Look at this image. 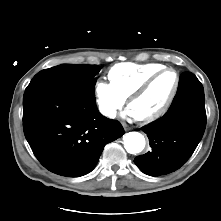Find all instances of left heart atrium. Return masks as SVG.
Wrapping results in <instances>:
<instances>
[{
    "instance_id": "left-heart-atrium-1",
    "label": "left heart atrium",
    "mask_w": 221,
    "mask_h": 221,
    "mask_svg": "<svg viewBox=\"0 0 221 221\" xmlns=\"http://www.w3.org/2000/svg\"><path fill=\"white\" fill-rule=\"evenodd\" d=\"M123 117H129V118H136L134 113L132 112V110L130 108H128L124 113H123Z\"/></svg>"
}]
</instances>
